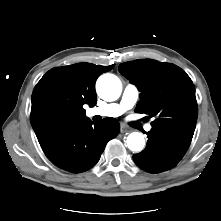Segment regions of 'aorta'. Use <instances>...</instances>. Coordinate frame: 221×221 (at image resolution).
<instances>
[{"label": "aorta", "mask_w": 221, "mask_h": 221, "mask_svg": "<svg viewBox=\"0 0 221 221\" xmlns=\"http://www.w3.org/2000/svg\"><path fill=\"white\" fill-rule=\"evenodd\" d=\"M98 95L106 101L117 100L122 91L120 79L113 74L101 75L96 83ZM145 139L139 132H132L127 137V146L131 151L139 152L144 148Z\"/></svg>", "instance_id": "1"}]
</instances>
